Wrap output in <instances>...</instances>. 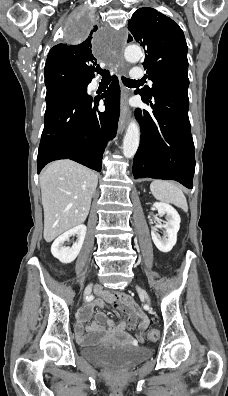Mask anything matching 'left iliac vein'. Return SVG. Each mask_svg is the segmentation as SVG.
<instances>
[{
  "mask_svg": "<svg viewBox=\"0 0 228 396\" xmlns=\"http://www.w3.org/2000/svg\"><path fill=\"white\" fill-rule=\"evenodd\" d=\"M136 289H137L139 295L141 297H143L148 303H150V298H149L148 293L143 288H141L139 286H137Z\"/></svg>",
  "mask_w": 228,
  "mask_h": 396,
  "instance_id": "obj_1",
  "label": "left iliac vein"
}]
</instances>
